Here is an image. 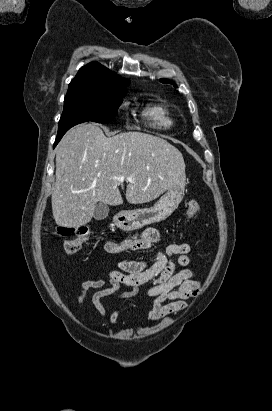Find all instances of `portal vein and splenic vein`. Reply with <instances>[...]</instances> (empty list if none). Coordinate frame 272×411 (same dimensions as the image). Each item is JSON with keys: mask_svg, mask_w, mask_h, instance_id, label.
I'll use <instances>...</instances> for the list:
<instances>
[{"mask_svg": "<svg viewBox=\"0 0 272 411\" xmlns=\"http://www.w3.org/2000/svg\"><path fill=\"white\" fill-rule=\"evenodd\" d=\"M115 179H117V180H119V181H124V180H128V181H130V182H134L132 179H127L125 176H118V177H115Z\"/></svg>", "mask_w": 272, "mask_h": 411, "instance_id": "obj_1", "label": "portal vein and splenic vein"}]
</instances>
